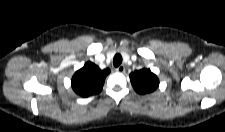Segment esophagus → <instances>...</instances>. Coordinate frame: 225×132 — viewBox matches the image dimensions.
I'll use <instances>...</instances> for the list:
<instances>
[{
	"label": "esophagus",
	"mask_w": 225,
	"mask_h": 132,
	"mask_svg": "<svg viewBox=\"0 0 225 132\" xmlns=\"http://www.w3.org/2000/svg\"><path fill=\"white\" fill-rule=\"evenodd\" d=\"M116 71L118 73H124L125 72V66L124 65H120L119 67L116 68Z\"/></svg>",
	"instance_id": "obj_1"
}]
</instances>
